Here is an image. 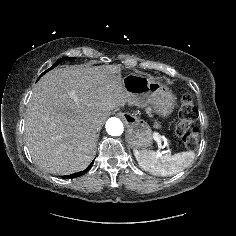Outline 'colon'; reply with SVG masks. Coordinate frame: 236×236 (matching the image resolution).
<instances>
[{"label": "colon", "instance_id": "5ec220e1", "mask_svg": "<svg viewBox=\"0 0 236 236\" xmlns=\"http://www.w3.org/2000/svg\"><path fill=\"white\" fill-rule=\"evenodd\" d=\"M196 113L192 96L188 92L182 91L180 94L179 123L176 126V135L190 150H195L200 140L199 129L192 126Z\"/></svg>", "mask_w": 236, "mask_h": 236}]
</instances>
